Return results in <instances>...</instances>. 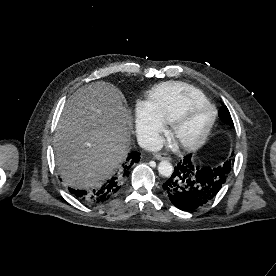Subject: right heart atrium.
Here are the masks:
<instances>
[{
    "label": "right heart atrium",
    "mask_w": 276,
    "mask_h": 276,
    "mask_svg": "<svg viewBox=\"0 0 276 276\" xmlns=\"http://www.w3.org/2000/svg\"><path fill=\"white\" fill-rule=\"evenodd\" d=\"M137 129L145 144L155 146L160 142L164 124L148 111L146 105H143L138 114Z\"/></svg>",
    "instance_id": "obj_1"
}]
</instances>
